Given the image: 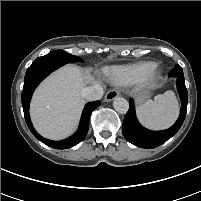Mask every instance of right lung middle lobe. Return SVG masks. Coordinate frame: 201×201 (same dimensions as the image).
Listing matches in <instances>:
<instances>
[{"mask_svg":"<svg viewBox=\"0 0 201 201\" xmlns=\"http://www.w3.org/2000/svg\"><path fill=\"white\" fill-rule=\"evenodd\" d=\"M49 55H55V56H61L68 60V62H83V60L80 57L71 55L65 51L57 50V51H51Z\"/></svg>","mask_w":201,"mask_h":201,"instance_id":"dd1d6c3e","label":"right lung middle lobe"}]
</instances>
